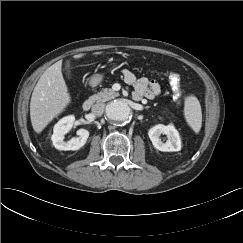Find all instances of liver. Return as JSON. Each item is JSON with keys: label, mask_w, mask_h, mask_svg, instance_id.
I'll use <instances>...</instances> for the list:
<instances>
[{"label": "liver", "mask_w": 243, "mask_h": 243, "mask_svg": "<svg viewBox=\"0 0 243 243\" xmlns=\"http://www.w3.org/2000/svg\"><path fill=\"white\" fill-rule=\"evenodd\" d=\"M95 55L101 52L94 53ZM84 54L74 55L81 58ZM71 102L68 87L62 75V61L51 65L38 80L30 101V119L36 133H41L44 128Z\"/></svg>", "instance_id": "6515ba94"}]
</instances>
